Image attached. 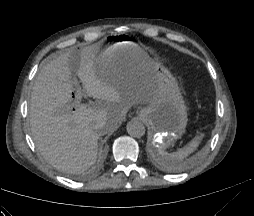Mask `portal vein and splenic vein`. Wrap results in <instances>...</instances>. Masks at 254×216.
I'll list each match as a JSON object with an SVG mask.
<instances>
[{
	"label": "portal vein and splenic vein",
	"mask_w": 254,
	"mask_h": 216,
	"mask_svg": "<svg viewBox=\"0 0 254 216\" xmlns=\"http://www.w3.org/2000/svg\"><path fill=\"white\" fill-rule=\"evenodd\" d=\"M76 99L73 103L74 107H79L81 105V98H82V89L79 85L76 86Z\"/></svg>",
	"instance_id": "1"
}]
</instances>
